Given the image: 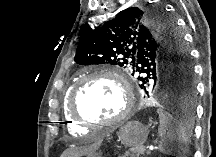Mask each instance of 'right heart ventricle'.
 Segmentation results:
<instances>
[{
    "mask_svg": "<svg viewBox=\"0 0 216 157\" xmlns=\"http://www.w3.org/2000/svg\"><path fill=\"white\" fill-rule=\"evenodd\" d=\"M70 92H71V88H68V90L65 93V97L63 101V113H64V120L66 123V127L71 134L83 136L88 134V130L86 129V127L74 121L68 112V100H69Z\"/></svg>",
    "mask_w": 216,
    "mask_h": 157,
    "instance_id": "1",
    "label": "right heart ventricle"
}]
</instances>
